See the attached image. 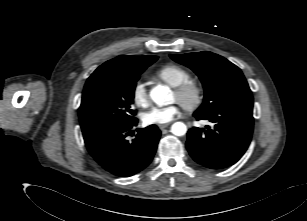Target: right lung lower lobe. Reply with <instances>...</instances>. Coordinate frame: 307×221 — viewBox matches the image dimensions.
Listing matches in <instances>:
<instances>
[{"label":"right lung lower lobe","instance_id":"right-lung-lower-lobe-1","mask_svg":"<svg viewBox=\"0 0 307 221\" xmlns=\"http://www.w3.org/2000/svg\"><path fill=\"white\" fill-rule=\"evenodd\" d=\"M137 122L110 128L85 141L90 155L114 176L129 177L141 172L150 164L156 152L161 133L155 125L137 129L136 137L127 140V135Z\"/></svg>","mask_w":307,"mask_h":221}]
</instances>
